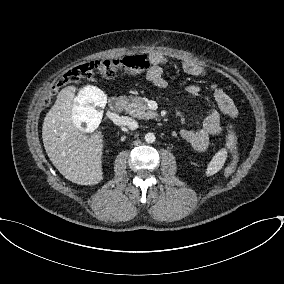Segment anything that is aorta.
<instances>
[{
  "instance_id": "obj_1",
  "label": "aorta",
  "mask_w": 284,
  "mask_h": 284,
  "mask_svg": "<svg viewBox=\"0 0 284 284\" xmlns=\"http://www.w3.org/2000/svg\"><path fill=\"white\" fill-rule=\"evenodd\" d=\"M155 139H156V137H155L154 133L149 132L145 135V141L147 143H153V142H155Z\"/></svg>"
}]
</instances>
